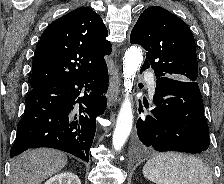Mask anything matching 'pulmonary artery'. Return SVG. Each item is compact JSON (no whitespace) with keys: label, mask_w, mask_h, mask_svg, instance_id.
<instances>
[{"label":"pulmonary artery","mask_w":224,"mask_h":184,"mask_svg":"<svg viewBox=\"0 0 224 184\" xmlns=\"http://www.w3.org/2000/svg\"><path fill=\"white\" fill-rule=\"evenodd\" d=\"M148 89H149L150 93L154 92V90H155V82L154 81L149 82Z\"/></svg>","instance_id":"1"}]
</instances>
